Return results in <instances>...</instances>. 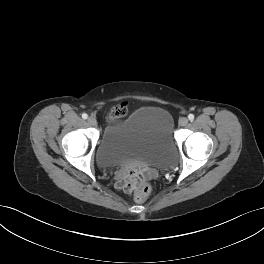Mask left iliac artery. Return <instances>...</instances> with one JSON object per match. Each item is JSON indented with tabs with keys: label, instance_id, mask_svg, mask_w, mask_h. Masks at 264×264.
Returning <instances> with one entry per match:
<instances>
[{
	"label": "left iliac artery",
	"instance_id": "1",
	"mask_svg": "<svg viewBox=\"0 0 264 264\" xmlns=\"http://www.w3.org/2000/svg\"><path fill=\"white\" fill-rule=\"evenodd\" d=\"M188 119L192 121L194 119V115L193 114H189L188 115Z\"/></svg>",
	"mask_w": 264,
	"mask_h": 264
}]
</instances>
